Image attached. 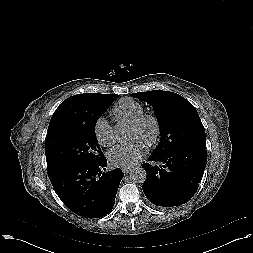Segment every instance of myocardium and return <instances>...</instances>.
Instances as JSON below:
<instances>
[{"label":"myocardium","mask_w":253,"mask_h":253,"mask_svg":"<svg viewBox=\"0 0 253 253\" xmlns=\"http://www.w3.org/2000/svg\"><path fill=\"white\" fill-rule=\"evenodd\" d=\"M147 124H151L153 127L152 134L146 144L150 147L156 145L161 136V123L154 114H143L130 125L133 129L142 130Z\"/></svg>","instance_id":"obj_1"}]
</instances>
